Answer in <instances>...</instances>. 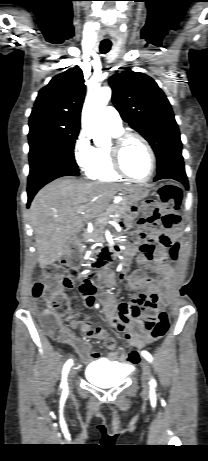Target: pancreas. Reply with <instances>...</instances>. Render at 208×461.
I'll list each match as a JSON object with an SVG mask.
<instances>
[{"label": "pancreas", "instance_id": "cf45deb5", "mask_svg": "<svg viewBox=\"0 0 208 461\" xmlns=\"http://www.w3.org/2000/svg\"><path fill=\"white\" fill-rule=\"evenodd\" d=\"M131 208V202L124 199L117 205H111L107 208V210L103 213L101 218L97 221V228L94 229L93 233L90 237L95 242H104V230L108 224L110 214H113V220L115 222L119 221L120 218Z\"/></svg>", "mask_w": 208, "mask_h": 461}]
</instances>
